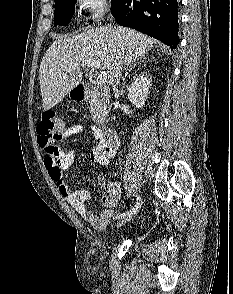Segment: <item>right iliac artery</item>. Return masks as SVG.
<instances>
[{"mask_svg": "<svg viewBox=\"0 0 233 294\" xmlns=\"http://www.w3.org/2000/svg\"><path fill=\"white\" fill-rule=\"evenodd\" d=\"M136 200H137V202H136V205L134 206V208H132V209L129 210V211H126V212H124V213H121V214L117 215L116 218L121 219V218H123V217H125V216H127V215H133V214H136V212L138 211V209H139V208L141 207V205H142V199H141V197H140L139 195H137V196H136Z\"/></svg>", "mask_w": 233, "mask_h": 294, "instance_id": "right-iliac-artery-1", "label": "right iliac artery"}]
</instances>
